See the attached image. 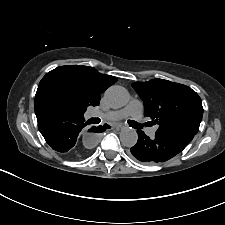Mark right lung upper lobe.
Returning a JSON list of instances; mask_svg holds the SVG:
<instances>
[{
  "label": "right lung upper lobe",
  "instance_id": "obj_1",
  "mask_svg": "<svg viewBox=\"0 0 225 225\" xmlns=\"http://www.w3.org/2000/svg\"><path fill=\"white\" fill-rule=\"evenodd\" d=\"M116 81L114 76L101 74L93 67L60 66L40 81L35 100H46L48 91L58 89L87 109L99 105L100 94Z\"/></svg>",
  "mask_w": 225,
  "mask_h": 225
}]
</instances>
